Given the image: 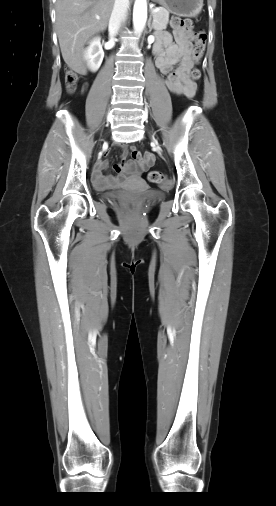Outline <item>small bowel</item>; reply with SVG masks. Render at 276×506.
<instances>
[{"label": "small bowel", "instance_id": "obj_1", "mask_svg": "<svg viewBox=\"0 0 276 506\" xmlns=\"http://www.w3.org/2000/svg\"><path fill=\"white\" fill-rule=\"evenodd\" d=\"M191 34L181 30L174 31L175 42L169 35H160L154 47L156 65L165 76L164 84L173 93L191 98L195 95L196 85L189 77L192 67L190 52L192 44ZM178 67L174 69V65ZM130 153L131 160H126ZM154 162L153 155H142L136 147L129 150L124 148L121 161L115 166L116 177L104 176L103 170L107 166L105 160H100L93 173L96 187L104 189L109 186L125 183L129 178H138L141 171L148 169Z\"/></svg>", "mask_w": 276, "mask_h": 506}]
</instances>
